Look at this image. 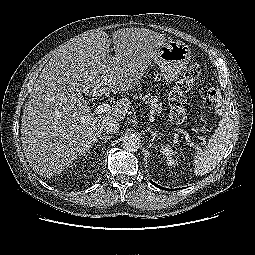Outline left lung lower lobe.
<instances>
[{
    "label": "left lung lower lobe",
    "instance_id": "obj_1",
    "mask_svg": "<svg viewBox=\"0 0 255 255\" xmlns=\"http://www.w3.org/2000/svg\"><path fill=\"white\" fill-rule=\"evenodd\" d=\"M154 186H156V187H158V188H160V189H164V190H170V189H168V188H164V187H161V186H158L156 183H154V182H151Z\"/></svg>",
    "mask_w": 255,
    "mask_h": 255
}]
</instances>
